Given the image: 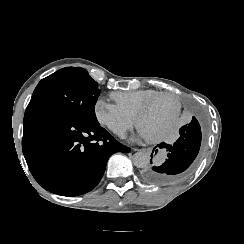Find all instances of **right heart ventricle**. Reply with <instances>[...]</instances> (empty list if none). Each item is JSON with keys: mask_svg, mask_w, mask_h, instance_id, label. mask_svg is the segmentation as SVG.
Here are the masks:
<instances>
[{"mask_svg": "<svg viewBox=\"0 0 244 244\" xmlns=\"http://www.w3.org/2000/svg\"><path fill=\"white\" fill-rule=\"evenodd\" d=\"M121 92H112L109 94L110 99L114 100L117 104H120L135 114L138 118L142 105L147 102L150 98H154L156 95L162 94L155 90H127L121 95ZM161 100V99H159ZM158 100V101H159ZM155 101V104L158 102ZM154 104V105H155ZM151 108V107H150ZM149 108V109H150ZM148 109V110H149ZM146 129V128H145ZM149 133L154 134L152 130L146 129Z\"/></svg>", "mask_w": 244, "mask_h": 244, "instance_id": "e07e8e85", "label": "right heart ventricle"}]
</instances>
